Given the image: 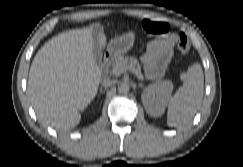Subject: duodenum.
<instances>
[{"mask_svg":"<svg viewBox=\"0 0 243 167\" xmlns=\"http://www.w3.org/2000/svg\"><path fill=\"white\" fill-rule=\"evenodd\" d=\"M113 57V53L112 52H106L104 55V60L103 63L100 66V70H101V74L104 75L106 67L108 65V63L110 62V60Z\"/></svg>","mask_w":243,"mask_h":167,"instance_id":"1","label":"duodenum"}]
</instances>
